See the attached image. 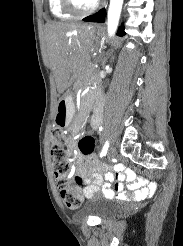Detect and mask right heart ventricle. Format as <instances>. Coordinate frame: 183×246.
Segmentation results:
<instances>
[{
  "label": "right heart ventricle",
  "instance_id": "1",
  "mask_svg": "<svg viewBox=\"0 0 183 246\" xmlns=\"http://www.w3.org/2000/svg\"><path fill=\"white\" fill-rule=\"evenodd\" d=\"M49 9L51 14L58 19H69L72 18L73 15L68 13L63 5L62 0H49Z\"/></svg>",
  "mask_w": 183,
  "mask_h": 246
}]
</instances>
